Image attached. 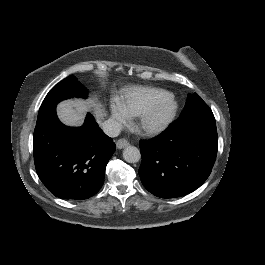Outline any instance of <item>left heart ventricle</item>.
<instances>
[{"label": "left heart ventricle", "mask_w": 265, "mask_h": 265, "mask_svg": "<svg viewBox=\"0 0 265 265\" xmlns=\"http://www.w3.org/2000/svg\"><path fill=\"white\" fill-rule=\"evenodd\" d=\"M171 99L167 95H160L157 97L154 108H153V116H158L171 107Z\"/></svg>", "instance_id": "1"}]
</instances>
